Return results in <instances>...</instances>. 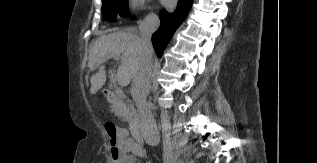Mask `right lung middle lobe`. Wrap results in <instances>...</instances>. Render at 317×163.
<instances>
[{
    "mask_svg": "<svg viewBox=\"0 0 317 163\" xmlns=\"http://www.w3.org/2000/svg\"><path fill=\"white\" fill-rule=\"evenodd\" d=\"M102 15L109 21H115L117 16L126 17L128 15L127 0H102Z\"/></svg>",
    "mask_w": 317,
    "mask_h": 163,
    "instance_id": "dd1d6c3e",
    "label": "right lung middle lobe"
}]
</instances>
